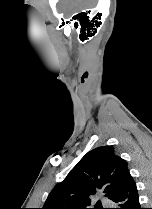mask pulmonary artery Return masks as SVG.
Listing matches in <instances>:
<instances>
[{"label": "pulmonary artery", "mask_w": 152, "mask_h": 209, "mask_svg": "<svg viewBox=\"0 0 152 209\" xmlns=\"http://www.w3.org/2000/svg\"><path fill=\"white\" fill-rule=\"evenodd\" d=\"M101 202H102L103 205L110 204V201L107 200V199H101Z\"/></svg>", "instance_id": "pulmonary-artery-1"}]
</instances>
